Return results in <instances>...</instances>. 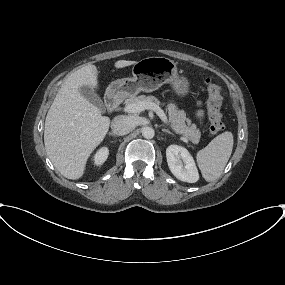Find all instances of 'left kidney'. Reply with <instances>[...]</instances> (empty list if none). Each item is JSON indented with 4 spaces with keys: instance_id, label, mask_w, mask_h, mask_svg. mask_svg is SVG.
I'll return each mask as SVG.
<instances>
[{
    "instance_id": "left-kidney-1",
    "label": "left kidney",
    "mask_w": 285,
    "mask_h": 285,
    "mask_svg": "<svg viewBox=\"0 0 285 285\" xmlns=\"http://www.w3.org/2000/svg\"><path fill=\"white\" fill-rule=\"evenodd\" d=\"M166 158L170 171L177 179L189 183L199 180L195 161L186 148L170 145L166 149Z\"/></svg>"
}]
</instances>
